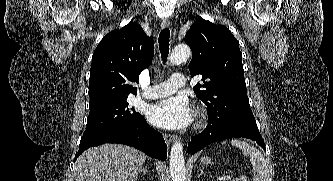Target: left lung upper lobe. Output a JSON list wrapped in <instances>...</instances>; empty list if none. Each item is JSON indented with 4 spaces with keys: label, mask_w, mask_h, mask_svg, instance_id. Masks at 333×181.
<instances>
[{
    "label": "left lung upper lobe",
    "mask_w": 333,
    "mask_h": 181,
    "mask_svg": "<svg viewBox=\"0 0 333 181\" xmlns=\"http://www.w3.org/2000/svg\"><path fill=\"white\" fill-rule=\"evenodd\" d=\"M192 50L191 76L202 75L204 84L194 87L208 113H225L237 123L258 130L246 93L239 42L228 28L202 18L185 36Z\"/></svg>",
    "instance_id": "obj_1"
}]
</instances>
